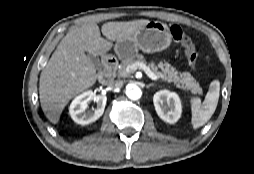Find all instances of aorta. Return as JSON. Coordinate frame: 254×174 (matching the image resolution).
<instances>
[{"label":"aorta","mask_w":254,"mask_h":174,"mask_svg":"<svg viewBox=\"0 0 254 174\" xmlns=\"http://www.w3.org/2000/svg\"><path fill=\"white\" fill-rule=\"evenodd\" d=\"M125 93H126V96H127L129 99H131V100H137V99H139V98L141 97V95H142L141 89H140L138 86L134 85V84H128V85L126 86V91H125Z\"/></svg>","instance_id":"762f6f07"}]
</instances>
